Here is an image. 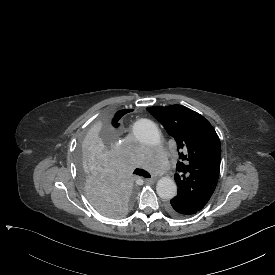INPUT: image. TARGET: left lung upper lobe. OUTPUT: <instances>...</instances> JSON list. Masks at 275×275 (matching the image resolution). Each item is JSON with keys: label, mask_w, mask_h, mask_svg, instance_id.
<instances>
[{"label": "left lung upper lobe", "mask_w": 275, "mask_h": 275, "mask_svg": "<svg viewBox=\"0 0 275 275\" xmlns=\"http://www.w3.org/2000/svg\"><path fill=\"white\" fill-rule=\"evenodd\" d=\"M177 142L179 158L174 176V200L201 210L212 196L220 171L221 145L212 125L199 113L181 105L148 107Z\"/></svg>", "instance_id": "obj_1"}]
</instances>
